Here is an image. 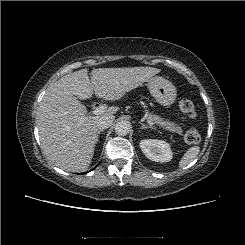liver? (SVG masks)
<instances>
[{
    "label": "liver",
    "mask_w": 245,
    "mask_h": 245,
    "mask_svg": "<svg viewBox=\"0 0 245 245\" xmlns=\"http://www.w3.org/2000/svg\"><path fill=\"white\" fill-rule=\"evenodd\" d=\"M159 72L153 67L98 68L91 71V80L87 69L61 77L47 89L38 111L37 125L45 155L66 171L86 170L98 141L99 118L115 114L118 107L91 116L78 99L95 94L105 100H119Z\"/></svg>",
    "instance_id": "6515ba94"
}]
</instances>
